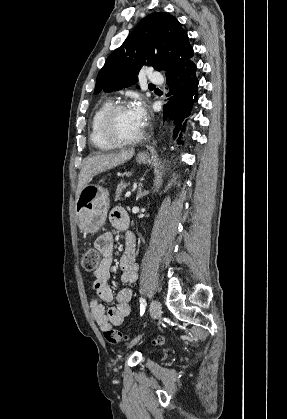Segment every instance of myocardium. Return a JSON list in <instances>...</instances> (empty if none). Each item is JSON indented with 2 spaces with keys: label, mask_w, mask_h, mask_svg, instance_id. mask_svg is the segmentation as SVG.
Returning a JSON list of instances; mask_svg holds the SVG:
<instances>
[{
  "label": "myocardium",
  "mask_w": 287,
  "mask_h": 419,
  "mask_svg": "<svg viewBox=\"0 0 287 419\" xmlns=\"http://www.w3.org/2000/svg\"><path fill=\"white\" fill-rule=\"evenodd\" d=\"M125 108H128V105L125 102H118L113 104L110 108L107 109L100 121V132L102 136L115 146L138 143L144 138L145 135L144 129H142L138 135L132 138H122L115 132L114 118L119 111Z\"/></svg>",
  "instance_id": "1"
}]
</instances>
